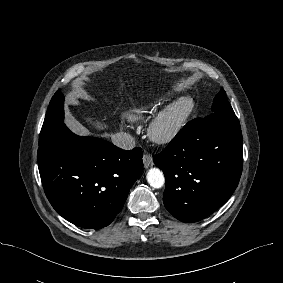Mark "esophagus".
Returning <instances> with one entry per match:
<instances>
[{
    "label": "esophagus",
    "instance_id": "esophagus-1",
    "mask_svg": "<svg viewBox=\"0 0 283 283\" xmlns=\"http://www.w3.org/2000/svg\"><path fill=\"white\" fill-rule=\"evenodd\" d=\"M143 164L145 168H149L153 165V158L149 153L144 154Z\"/></svg>",
    "mask_w": 283,
    "mask_h": 283
}]
</instances>
